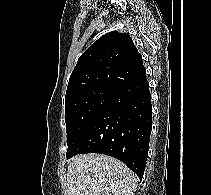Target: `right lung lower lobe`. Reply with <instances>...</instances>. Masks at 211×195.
<instances>
[{
	"mask_svg": "<svg viewBox=\"0 0 211 195\" xmlns=\"http://www.w3.org/2000/svg\"><path fill=\"white\" fill-rule=\"evenodd\" d=\"M152 106L146 75L115 87L67 158L100 153L124 162L141 180L148 157Z\"/></svg>",
	"mask_w": 211,
	"mask_h": 195,
	"instance_id": "right-lung-lower-lobe-1",
	"label": "right lung lower lobe"
}]
</instances>
